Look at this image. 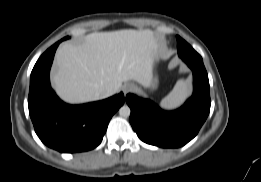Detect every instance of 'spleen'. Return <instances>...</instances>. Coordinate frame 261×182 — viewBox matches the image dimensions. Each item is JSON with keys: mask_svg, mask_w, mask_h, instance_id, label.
<instances>
[{"mask_svg": "<svg viewBox=\"0 0 261 182\" xmlns=\"http://www.w3.org/2000/svg\"><path fill=\"white\" fill-rule=\"evenodd\" d=\"M190 94L187 81L178 80L173 90L161 101L160 105L165 109H174L180 106Z\"/></svg>", "mask_w": 261, "mask_h": 182, "instance_id": "obj_1", "label": "spleen"}]
</instances>
